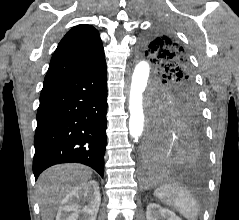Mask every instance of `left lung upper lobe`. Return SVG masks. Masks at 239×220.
<instances>
[{"label":"left lung upper lobe","instance_id":"1","mask_svg":"<svg viewBox=\"0 0 239 220\" xmlns=\"http://www.w3.org/2000/svg\"><path fill=\"white\" fill-rule=\"evenodd\" d=\"M143 54L155 63L163 85L155 92V107L164 112L200 111L193 69L186 49L176 37L163 29H154L141 40Z\"/></svg>","mask_w":239,"mask_h":220}]
</instances>
